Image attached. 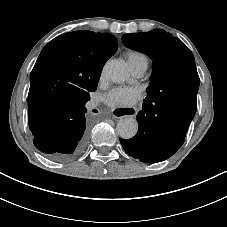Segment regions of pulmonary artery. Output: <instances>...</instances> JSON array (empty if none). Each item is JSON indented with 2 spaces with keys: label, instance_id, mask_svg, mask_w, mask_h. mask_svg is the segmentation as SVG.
<instances>
[{
  "label": "pulmonary artery",
  "instance_id": "1",
  "mask_svg": "<svg viewBox=\"0 0 227 227\" xmlns=\"http://www.w3.org/2000/svg\"><path fill=\"white\" fill-rule=\"evenodd\" d=\"M130 71L134 77L140 78L144 75L146 69L144 67H131Z\"/></svg>",
  "mask_w": 227,
  "mask_h": 227
}]
</instances>
